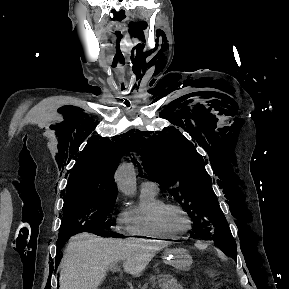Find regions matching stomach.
I'll return each instance as SVG.
<instances>
[{"mask_svg":"<svg viewBox=\"0 0 289 289\" xmlns=\"http://www.w3.org/2000/svg\"><path fill=\"white\" fill-rule=\"evenodd\" d=\"M165 262L179 271H188L193 263L192 257L185 248H172L165 252Z\"/></svg>","mask_w":289,"mask_h":289,"instance_id":"1","label":"stomach"}]
</instances>
